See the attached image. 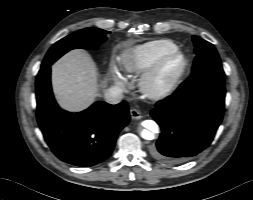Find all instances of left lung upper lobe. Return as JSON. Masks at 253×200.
I'll return each instance as SVG.
<instances>
[{
    "mask_svg": "<svg viewBox=\"0 0 253 200\" xmlns=\"http://www.w3.org/2000/svg\"><path fill=\"white\" fill-rule=\"evenodd\" d=\"M193 42L196 56L192 67V73L186 82L192 83L205 77L224 79L225 73L215 47L211 43L196 36H193Z\"/></svg>",
    "mask_w": 253,
    "mask_h": 200,
    "instance_id": "5c2ea615",
    "label": "left lung upper lobe"
}]
</instances>
